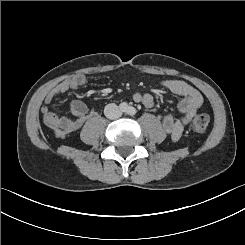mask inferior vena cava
<instances>
[{
	"mask_svg": "<svg viewBox=\"0 0 245 245\" xmlns=\"http://www.w3.org/2000/svg\"><path fill=\"white\" fill-rule=\"evenodd\" d=\"M104 114L108 119L114 120L121 116L118 106L114 103L105 106Z\"/></svg>",
	"mask_w": 245,
	"mask_h": 245,
	"instance_id": "602c4592",
	"label": "inferior vena cava"
}]
</instances>
